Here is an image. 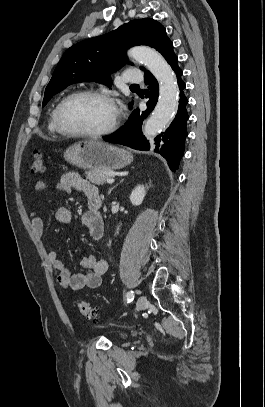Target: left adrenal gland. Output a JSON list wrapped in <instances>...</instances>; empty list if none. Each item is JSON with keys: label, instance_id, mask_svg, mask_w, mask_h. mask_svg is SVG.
Here are the masks:
<instances>
[{"label": "left adrenal gland", "instance_id": "a2214340", "mask_svg": "<svg viewBox=\"0 0 265 407\" xmlns=\"http://www.w3.org/2000/svg\"><path fill=\"white\" fill-rule=\"evenodd\" d=\"M112 190H113V188H111V189L109 190V194L111 193Z\"/></svg>", "mask_w": 265, "mask_h": 407}]
</instances>
